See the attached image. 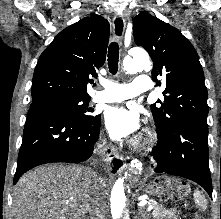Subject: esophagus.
Segmentation results:
<instances>
[{"label": "esophagus", "instance_id": "esophagus-1", "mask_svg": "<svg viewBox=\"0 0 221 219\" xmlns=\"http://www.w3.org/2000/svg\"><path fill=\"white\" fill-rule=\"evenodd\" d=\"M126 21L122 14L117 13L113 18V39L121 41L124 37Z\"/></svg>", "mask_w": 221, "mask_h": 219}]
</instances>
